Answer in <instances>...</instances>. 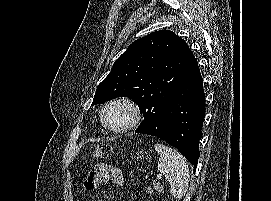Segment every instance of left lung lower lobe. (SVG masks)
I'll use <instances>...</instances> for the list:
<instances>
[{
    "instance_id": "obj_1",
    "label": "left lung lower lobe",
    "mask_w": 271,
    "mask_h": 201,
    "mask_svg": "<svg viewBox=\"0 0 271 201\" xmlns=\"http://www.w3.org/2000/svg\"><path fill=\"white\" fill-rule=\"evenodd\" d=\"M204 116L203 79L196 58L186 46L180 82L163 110L160 129L150 132L139 126L135 132L165 140L177 148L196 169Z\"/></svg>"
}]
</instances>
